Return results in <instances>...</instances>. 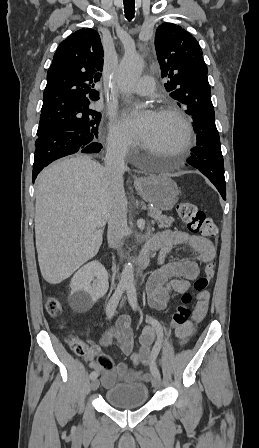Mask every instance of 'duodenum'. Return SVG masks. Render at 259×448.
<instances>
[{
    "label": "duodenum",
    "instance_id": "410a0bca",
    "mask_svg": "<svg viewBox=\"0 0 259 448\" xmlns=\"http://www.w3.org/2000/svg\"><path fill=\"white\" fill-rule=\"evenodd\" d=\"M156 249H157V246L155 245V243L152 240L148 241L145 244L140 257L138 258V260L135 263V268L137 271H143L147 267L150 257Z\"/></svg>",
    "mask_w": 259,
    "mask_h": 448
}]
</instances>
